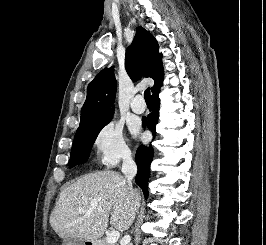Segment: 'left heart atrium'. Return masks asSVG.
<instances>
[{
  "instance_id": "obj_1",
  "label": "left heart atrium",
  "mask_w": 266,
  "mask_h": 245,
  "mask_svg": "<svg viewBox=\"0 0 266 245\" xmlns=\"http://www.w3.org/2000/svg\"><path fill=\"white\" fill-rule=\"evenodd\" d=\"M138 130H139L138 125H132V126H131V131H132L134 134H136V133L138 132Z\"/></svg>"
}]
</instances>
